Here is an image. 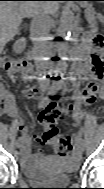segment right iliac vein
Here are the masks:
<instances>
[{
  "instance_id": "obj_1",
  "label": "right iliac vein",
  "mask_w": 104,
  "mask_h": 189,
  "mask_svg": "<svg viewBox=\"0 0 104 189\" xmlns=\"http://www.w3.org/2000/svg\"><path fill=\"white\" fill-rule=\"evenodd\" d=\"M15 146L17 149H21L22 148V142L20 140L16 141Z\"/></svg>"
}]
</instances>
